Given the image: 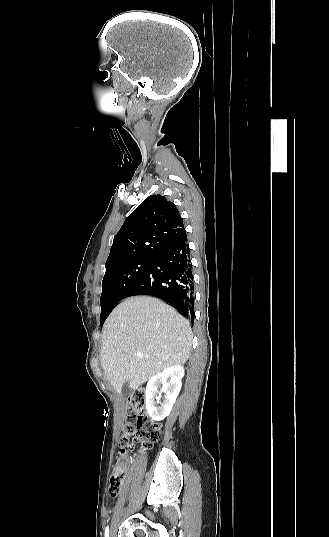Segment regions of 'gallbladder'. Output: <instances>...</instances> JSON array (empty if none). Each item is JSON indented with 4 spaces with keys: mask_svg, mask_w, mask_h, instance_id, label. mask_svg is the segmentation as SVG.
I'll list each match as a JSON object with an SVG mask.
<instances>
[{
    "mask_svg": "<svg viewBox=\"0 0 329 537\" xmlns=\"http://www.w3.org/2000/svg\"><path fill=\"white\" fill-rule=\"evenodd\" d=\"M131 388L129 386V383L128 382H125L122 386V389H121V394L124 396V397H127L130 395L131 393Z\"/></svg>",
    "mask_w": 329,
    "mask_h": 537,
    "instance_id": "1",
    "label": "gallbladder"
}]
</instances>
